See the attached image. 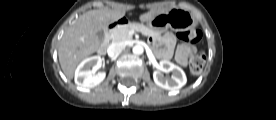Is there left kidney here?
Here are the masks:
<instances>
[{"label":"left kidney","instance_id":"5707ae66","mask_svg":"<svg viewBox=\"0 0 276 120\" xmlns=\"http://www.w3.org/2000/svg\"><path fill=\"white\" fill-rule=\"evenodd\" d=\"M160 67L169 72H172V77L168 79L165 78L160 71H154L153 79L155 84L159 87L169 91H178L181 87H183L186 84V75L179 66L173 64L170 61L162 60L160 61Z\"/></svg>","mask_w":276,"mask_h":120}]
</instances>
